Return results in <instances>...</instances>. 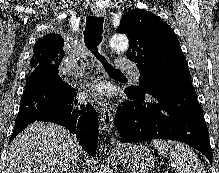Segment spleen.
Masks as SVG:
<instances>
[{
	"mask_svg": "<svg viewBox=\"0 0 219 173\" xmlns=\"http://www.w3.org/2000/svg\"><path fill=\"white\" fill-rule=\"evenodd\" d=\"M150 143L159 154L163 156L170 154L171 166L176 173H206L194 152L182 143L163 139H154Z\"/></svg>",
	"mask_w": 219,
	"mask_h": 173,
	"instance_id": "obj_1",
	"label": "spleen"
}]
</instances>
